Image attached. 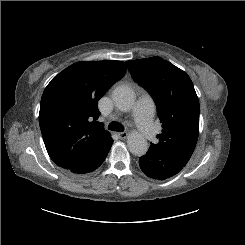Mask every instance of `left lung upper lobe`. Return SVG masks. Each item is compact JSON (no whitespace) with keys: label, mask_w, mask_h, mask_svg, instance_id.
Returning <instances> with one entry per match:
<instances>
[{"label":"left lung upper lobe","mask_w":245,"mask_h":245,"mask_svg":"<svg viewBox=\"0 0 245 245\" xmlns=\"http://www.w3.org/2000/svg\"><path fill=\"white\" fill-rule=\"evenodd\" d=\"M133 79L153 97L162 123L159 142L150 148L182 165L189 161L199 134V101L183 70L160 57L126 61Z\"/></svg>","instance_id":"obj_1"}]
</instances>
